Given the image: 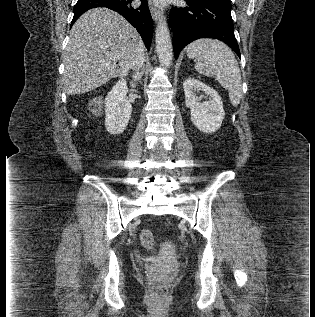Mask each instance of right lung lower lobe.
<instances>
[{
	"mask_svg": "<svg viewBox=\"0 0 315 317\" xmlns=\"http://www.w3.org/2000/svg\"><path fill=\"white\" fill-rule=\"evenodd\" d=\"M133 0H78L73 12V24L84 12L95 7H106L112 9L134 26L141 35L146 48L149 50L153 34V22L148 8L147 0H141V6H131Z\"/></svg>",
	"mask_w": 315,
	"mask_h": 317,
	"instance_id": "1",
	"label": "right lung lower lobe"
}]
</instances>
